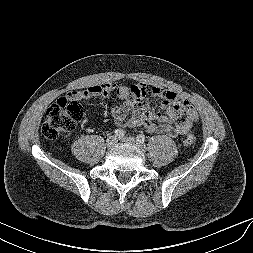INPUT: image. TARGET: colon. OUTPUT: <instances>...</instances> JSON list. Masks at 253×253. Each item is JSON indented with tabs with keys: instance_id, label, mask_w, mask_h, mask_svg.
<instances>
[{
	"instance_id": "obj_1",
	"label": "colon",
	"mask_w": 253,
	"mask_h": 253,
	"mask_svg": "<svg viewBox=\"0 0 253 253\" xmlns=\"http://www.w3.org/2000/svg\"><path fill=\"white\" fill-rule=\"evenodd\" d=\"M83 114L82 105L78 100L60 98L47 110L46 119L42 125V134L45 138L54 140L71 132ZM195 142L193 135H187L184 139L186 146H192Z\"/></svg>"
}]
</instances>
